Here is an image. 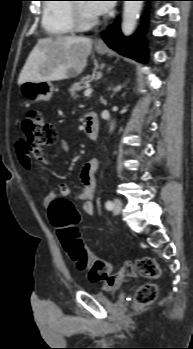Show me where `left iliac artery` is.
Wrapping results in <instances>:
<instances>
[{"mask_svg": "<svg viewBox=\"0 0 193 349\" xmlns=\"http://www.w3.org/2000/svg\"><path fill=\"white\" fill-rule=\"evenodd\" d=\"M105 207H106L108 210H112V209H113V203H112V201L108 200V201L105 203Z\"/></svg>", "mask_w": 193, "mask_h": 349, "instance_id": "1", "label": "left iliac artery"}]
</instances>
